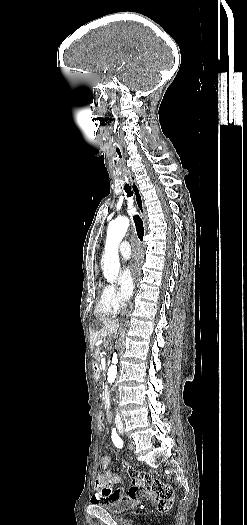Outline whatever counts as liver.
Wrapping results in <instances>:
<instances>
[{"label":"liver","mask_w":247,"mask_h":525,"mask_svg":"<svg viewBox=\"0 0 247 525\" xmlns=\"http://www.w3.org/2000/svg\"><path fill=\"white\" fill-rule=\"evenodd\" d=\"M118 327H120V323H117L114 319H106V321H102V323H100L98 339H104V337H108V335L117 333Z\"/></svg>","instance_id":"1"}]
</instances>
